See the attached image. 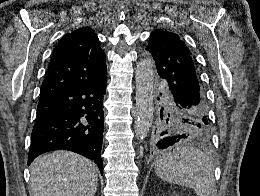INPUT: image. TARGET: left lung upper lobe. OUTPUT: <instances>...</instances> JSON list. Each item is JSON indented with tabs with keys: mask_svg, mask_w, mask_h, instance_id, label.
<instances>
[{
	"mask_svg": "<svg viewBox=\"0 0 260 196\" xmlns=\"http://www.w3.org/2000/svg\"><path fill=\"white\" fill-rule=\"evenodd\" d=\"M150 37L145 49L169 90L167 99L157 106L147 147L152 153L161 149L160 143L169 134L180 135L179 141L209 142L212 121L195 57L177 33L158 29Z\"/></svg>",
	"mask_w": 260,
	"mask_h": 196,
	"instance_id": "5c2ea615",
	"label": "left lung upper lobe"
}]
</instances>
